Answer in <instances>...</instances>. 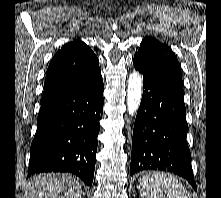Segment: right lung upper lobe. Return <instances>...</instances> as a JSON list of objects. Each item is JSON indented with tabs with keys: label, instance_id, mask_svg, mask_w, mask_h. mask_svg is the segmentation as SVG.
<instances>
[{
	"label": "right lung upper lobe",
	"instance_id": "cb5924a9",
	"mask_svg": "<svg viewBox=\"0 0 221 198\" xmlns=\"http://www.w3.org/2000/svg\"><path fill=\"white\" fill-rule=\"evenodd\" d=\"M99 71L97 57L84 42L65 44L49 64L41 104L80 86Z\"/></svg>",
	"mask_w": 221,
	"mask_h": 198
}]
</instances>
